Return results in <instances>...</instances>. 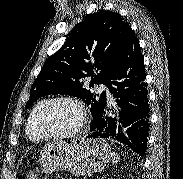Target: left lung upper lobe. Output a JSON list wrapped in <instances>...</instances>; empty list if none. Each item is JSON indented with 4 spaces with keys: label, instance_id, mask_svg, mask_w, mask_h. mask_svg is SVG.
<instances>
[{
    "label": "left lung upper lobe",
    "instance_id": "obj_1",
    "mask_svg": "<svg viewBox=\"0 0 183 179\" xmlns=\"http://www.w3.org/2000/svg\"><path fill=\"white\" fill-rule=\"evenodd\" d=\"M131 30L118 13L99 10L78 23L64 45L44 64L30 90L29 108L41 96L68 94L91 105L93 120L106 105V93L99 97L87 89L108 84L127 33Z\"/></svg>",
    "mask_w": 183,
    "mask_h": 179
}]
</instances>
